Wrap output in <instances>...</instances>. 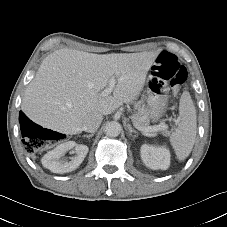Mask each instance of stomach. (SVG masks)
I'll use <instances>...</instances> for the list:
<instances>
[{"label":"stomach","mask_w":227,"mask_h":227,"mask_svg":"<svg viewBox=\"0 0 227 227\" xmlns=\"http://www.w3.org/2000/svg\"><path fill=\"white\" fill-rule=\"evenodd\" d=\"M169 87L161 78L150 75L146 81V94L148 104V118L158 121L166 112Z\"/></svg>","instance_id":"1"}]
</instances>
